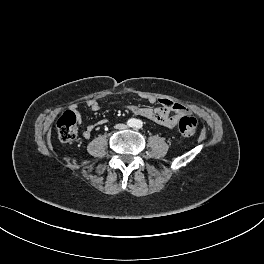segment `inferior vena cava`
I'll return each mask as SVG.
<instances>
[{
	"instance_id": "obj_1",
	"label": "inferior vena cava",
	"mask_w": 264,
	"mask_h": 264,
	"mask_svg": "<svg viewBox=\"0 0 264 264\" xmlns=\"http://www.w3.org/2000/svg\"><path fill=\"white\" fill-rule=\"evenodd\" d=\"M116 128H118V129H120V130H122V129H126V128H127V125H125V124H118V125L116 126Z\"/></svg>"
}]
</instances>
